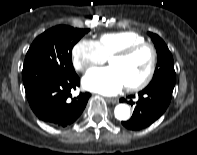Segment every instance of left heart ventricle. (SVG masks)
I'll return each instance as SVG.
<instances>
[{"instance_id":"obj_1","label":"left heart ventricle","mask_w":197,"mask_h":155,"mask_svg":"<svg viewBox=\"0 0 197 155\" xmlns=\"http://www.w3.org/2000/svg\"><path fill=\"white\" fill-rule=\"evenodd\" d=\"M150 63L151 55L146 49L129 57L113 58L110 60V65L119 71L126 85L141 81L146 76Z\"/></svg>"}]
</instances>
